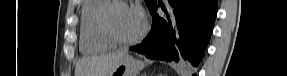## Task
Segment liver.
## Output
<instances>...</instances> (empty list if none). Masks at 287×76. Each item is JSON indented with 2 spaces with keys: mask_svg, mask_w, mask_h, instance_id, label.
Listing matches in <instances>:
<instances>
[{
  "mask_svg": "<svg viewBox=\"0 0 287 76\" xmlns=\"http://www.w3.org/2000/svg\"><path fill=\"white\" fill-rule=\"evenodd\" d=\"M125 52L83 58L76 64L75 76H109Z\"/></svg>",
  "mask_w": 287,
  "mask_h": 76,
  "instance_id": "6515ba94",
  "label": "liver"
}]
</instances>
